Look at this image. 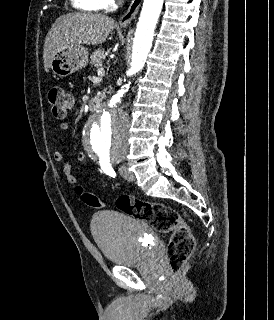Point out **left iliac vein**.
Masks as SVG:
<instances>
[{
  "label": "left iliac vein",
  "mask_w": 274,
  "mask_h": 320,
  "mask_svg": "<svg viewBox=\"0 0 274 320\" xmlns=\"http://www.w3.org/2000/svg\"><path fill=\"white\" fill-rule=\"evenodd\" d=\"M120 175L127 181H134L135 175L128 170L125 165L120 166L119 168Z\"/></svg>",
  "instance_id": "obj_1"
}]
</instances>
